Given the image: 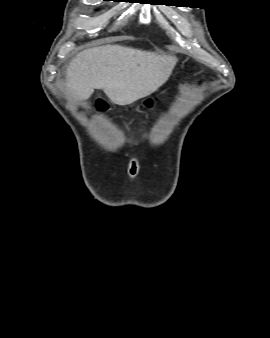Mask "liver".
<instances>
[{
	"mask_svg": "<svg viewBox=\"0 0 270 338\" xmlns=\"http://www.w3.org/2000/svg\"><path fill=\"white\" fill-rule=\"evenodd\" d=\"M176 60L164 53L119 45L87 49L67 68V92L75 99L86 100L95 89H102L113 103L129 105L161 87Z\"/></svg>",
	"mask_w": 270,
	"mask_h": 338,
	"instance_id": "obj_1",
	"label": "liver"
}]
</instances>
